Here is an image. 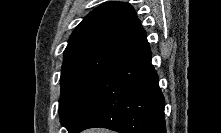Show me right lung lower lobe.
Wrapping results in <instances>:
<instances>
[{
  "instance_id": "1",
  "label": "right lung lower lobe",
  "mask_w": 221,
  "mask_h": 133,
  "mask_svg": "<svg viewBox=\"0 0 221 133\" xmlns=\"http://www.w3.org/2000/svg\"><path fill=\"white\" fill-rule=\"evenodd\" d=\"M158 81L150 50L115 64L92 85L68 132L103 127L120 133H166Z\"/></svg>"
}]
</instances>
